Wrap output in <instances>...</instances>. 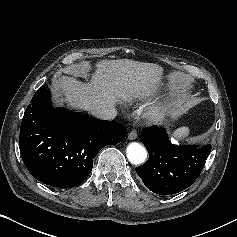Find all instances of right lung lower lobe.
Returning <instances> with one entry per match:
<instances>
[{
	"mask_svg": "<svg viewBox=\"0 0 237 237\" xmlns=\"http://www.w3.org/2000/svg\"><path fill=\"white\" fill-rule=\"evenodd\" d=\"M126 128L82 114L53 109L47 84L34 94L20 128V153L30 174L54 187L71 188L84 181L93 159L107 145L124 140Z\"/></svg>",
	"mask_w": 237,
	"mask_h": 237,
	"instance_id": "1",
	"label": "right lung lower lobe"
}]
</instances>
